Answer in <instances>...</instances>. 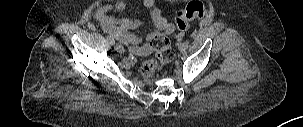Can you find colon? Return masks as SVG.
Instances as JSON below:
<instances>
[{
	"mask_svg": "<svg viewBox=\"0 0 303 127\" xmlns=\"http://www.w3.org/2000/svg\"><path fill=\"white\" fill-rule=\"evenodd\" d=\"M205 14L206 9L201 2H191L184 9L176 13V27L180 31H185L190 21L202 19ZM149 44L154 51V57L144 61L139 68L141 75L145 78H152L174 57V51L171 47L170 39L167 36H155L150 40Z\"/></svg>",
	"mask_w": 303,
	"mask_h": 127,
	"instance_id": "5ec220e1",
	"label": "colon"
}]
</instances>
